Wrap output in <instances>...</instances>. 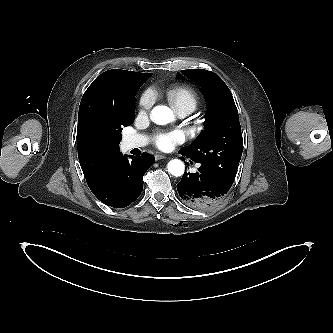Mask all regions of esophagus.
<instances>
[{"label":"esophagus","instance_id":"34e87169","mask_svg":"<svg viewBox=\"0 0 333 333\" xmlns=\"http://www.w3.org/2000/svg\"><path fill=\"white\" fill-rule=\"evenodd\" d=\"M164 158H166V156L163 155V154H156L154 156L155 161H158V160H161V159H164Z\"/></svg>","mask_w":333,"mask_h":333}]
</instances>
